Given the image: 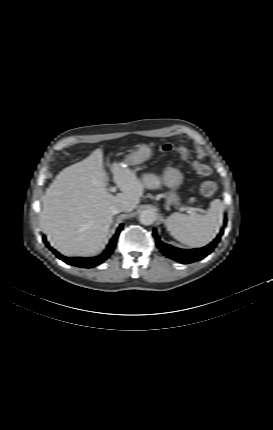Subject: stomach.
Wrapping results in <instances>:
<instances>
[{
  "instance_id": "1",
  "label": "stomach",
  "mask_w": 273,
  "mask_h": 430,
  "mask_svg": "<svg viewBox=\"0 0 273 430\" xmlns=\"http://www.w3.org/2000/svg\"><path fill=\"white\" fill-rule=\"evenodd\" d=\"M153 150L150 145L140 144L135 152L128 155L124 163L127 165H137L151 158ZM184 180L183 173L173 167H167L164 170L162 182L165 186L170 188V191L166 194V200L169 204H178L179 197L176 190L180 187Z\"/></svg>"
}]
</instances>
